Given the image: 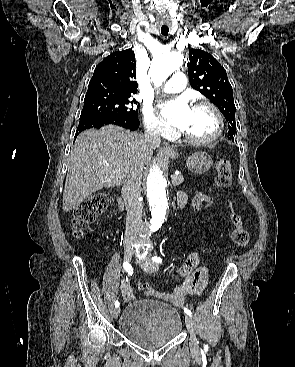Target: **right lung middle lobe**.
<instances>
[{
    "label": "right lung middle lobe",
    "instance_id": "obj_1",
    "mask_svg": "<svg viewBox=\"0 0 295 367\" xmlns=\"http://www.w3.org/2000/svg\"><path fill=\"white\" fill-rule=\"evenodd\" d=\"M130 94H120L106 90H88L80 120L103 117H137L139 107Z\"/></svg>",
    "mask_w": 295,
    "mask_h": 367
}]
</instances>
